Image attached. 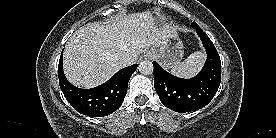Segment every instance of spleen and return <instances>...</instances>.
Segmentation results:
<instances>
[{
  "mask_svg": "<svg viewBox=\"0 0 276 138\" xmlns=\"http://www.w3.org/2000/svg\"><path fill=\"white\" fill-rule=\"evenodd\" d=\"M204 60V52L196 51L192 53L185 61L174 66L171 70V73L183 78L193 77L201 69Z\"/></svg>",
  "mask_w": 276,
  "mask_h": 138,
  "instance_id": "3e777b00",
  "label": "spleen"
}]
</instances>
